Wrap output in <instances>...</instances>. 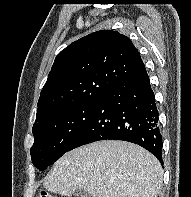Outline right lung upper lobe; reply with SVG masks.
<instances>
[{"label": "right lung upper lobe", "mask_w": 191, "mask_h": 197, "mask_svg": "<svg viewBox=\"0 0 191 197\" xmlns=\"http://www.w3.org/2000/svg\"><path fill=\"white\" fill-rule=\"evenodd\" d=\"M143 70L128 37L112 30L91 33L56 56L40 94L35 124L60 110L98 101L110 86Z\"/></svg>", "instance_id": "right-lung-upper-lobe-1"}]
</instances>
